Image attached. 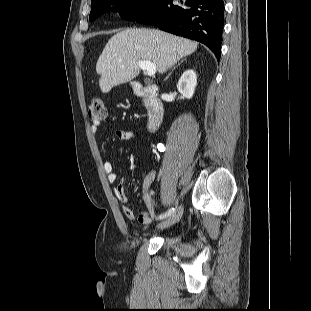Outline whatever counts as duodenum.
I'll use <instances>...</instances> for the list:
<instances>
[{
  "instance_id": "1",
  "label": "duodenum",
  "mask_w": 311,
  "mask_h": 311,
  "mask_svg": "<svg viewBox=\"0 0 311 311\" xmlns=\"http://www.w3.org/2000/svg\"><path fill=\"white\" fill-rule=\"evenodd\" d=\"M133 92L136 96L148 99V119L147 128L149 131L155 130L161 123L164 115V105L159 98V88L154 84L143 85L138 80L131 81Z\"/></svg>"
}]
</instances>
